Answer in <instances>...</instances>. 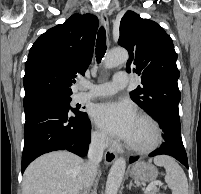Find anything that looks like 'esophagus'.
<instances>
[{
    "label": "esophagus",
    "instance_id": "1",
    "mask_svg": "<svg viewBox=\"0 0 201 194\" xmlns=\"http://www.w3.org/2000/svg\"><path fill=\"white\" fill-rule=\"evenodd\" d=\"M100 19L108 35L109 34V19H108V14L105 10L101 11ZM116 157L117 155L115 152L111 150H106L104 154V161L107 165H111L116 160Z\"/></svg>",
    "mask_w": 201,
    "mask_h": 194
}]
</instances>
